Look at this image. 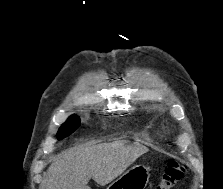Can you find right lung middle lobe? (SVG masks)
Listing matches in <instances>:
<instances>
[{
    "label": "right lung middle lobe",
    "mask_w": 223,
    "mask_h": 189,
    "mask_svg": "<svg viewBox=\"0 0 223 189\" xmlns=\"http://www.w3.org/2000/svg\"><path fill=\"white\" fill-rule=\"evenodd\" d=\"M80 126V119L77 115H71L70 118L60 127L57 137L61 140L71 135Z\"/></svg>",
    "instance_id": "obj_1"
}]
</instances>
